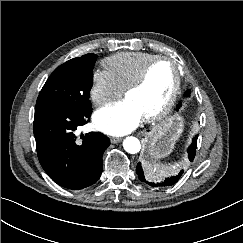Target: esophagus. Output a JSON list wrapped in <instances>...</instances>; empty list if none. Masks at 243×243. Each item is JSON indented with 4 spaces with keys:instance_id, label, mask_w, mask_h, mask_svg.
<instances>
[{
    "instance_id": "34e87169",
    "label": "esophagus",
    "mask_w": 243,
    "mask_h": 243,
    "mask_svg": "<svg viewBox=\"0 0 243 243\" xmlns=\"http://www.w3.org/2000/svg\"><path fill=\"white\" fill-rule=\"evenodd\" d=\"M111 140V143H118L122 140V138H119V137H111L110 138Z\"/></svg>"
}]
</instances>
